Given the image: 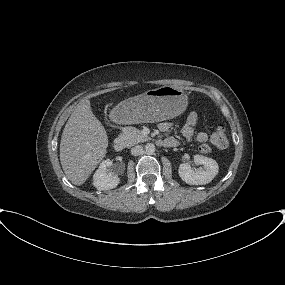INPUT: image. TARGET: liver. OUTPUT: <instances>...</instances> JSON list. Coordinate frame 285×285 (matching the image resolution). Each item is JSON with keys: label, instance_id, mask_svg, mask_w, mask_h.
Returning a JSON list of instances; mask_svg holds the SVG:
<instances>
[{"label": "liver", "instance_id": "1", "mask_svg": "<svg viewBox=\"0 0 285 285\" xmlns=\"http://www.w3.org/2000/svg\"><path fill=\"white\" fill-rule=\"evenodd\" d=\"M108 136L91 110L90 101L82 100L71 114L60 142V162L67 178L82 185L105 157Z\"/></svg>", "mask_w": 285, "mask_h": 285}]
</instances>
